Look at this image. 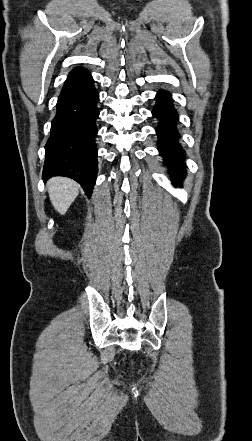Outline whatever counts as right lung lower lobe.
<instances>
[{"mask_svg":"<svg viewBox=\"0 0 252 441\" xmlns=\"http://www.w3.org/2000/svg\"><path fill=\"white\" fill-rule=\"evenodd\" d=\"M98 99L91 74L81 67L73 69L58 97L56 116L45 145L43 180L53 176L72 178L88 197L98 171L95 145Z\"/></svg>","mask_w":252,"mask_h":441,"instance_id":"right-lung-lower-lobe-1","label":"right lung lower lobe"}]
</instances>
